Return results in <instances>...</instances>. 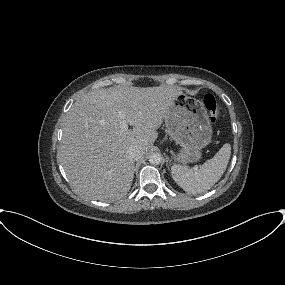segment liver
Listing matches in <instances>:
<instances>
[{
  "instance_id": "liver-1",
  "label": "liver",
  "mask_w": 285,
  "mask_h": 285,
  "mask_svg": "<svg viewBox=\"0 0 285 285\" xmlns=\"http://www.w3.org/2000/svg\"><path fill=\"white\" fill-rule=\"evenodd\" d=\"M181 93V88L173 86H125L92 90L77 99L64 118L59 150L71 184L95 200L125 196L134 177L128 149L137 146L143 154L149 150ZM119 111L132 129H121Z\"/></svg>"
}]
</instances>
